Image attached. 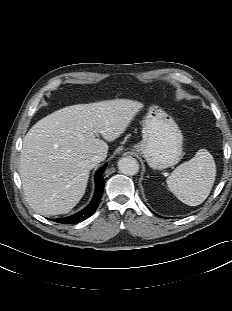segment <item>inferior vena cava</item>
<instances>
[{
    "label": "inferior vena cava",
    "mask_w": 232,
    "mask_h": 311,
    "mask_svg": "<svg viewBox=\"0 0 232 311\" xmlns=\"http://www.w3.org/2000/svg\"><path fill=\"white\" fill-rule=\"evenodd\" d=\"M104 159H105L104 156L95 154L86 160V165L89 169H92Z\"/></svg>",
    "instance_id": "602c4592"
}]
</instances>
